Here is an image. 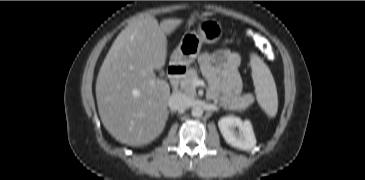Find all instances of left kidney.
<instances>
[{
  "mask_svg": "<svg viewBox=\"0 0 365 180\" xmlns=\"http://www.w3.org/2000/svg\"><path fill=\"white\" fill-rule=\"evenodd\" d=\"M218 127L225 141L233 147L250 150L256 144L252 125L248 120L227 116L218 121Z\"/></svg>",
  "mask_w": 365,
  "mask_h": 180,
  "instance_id": "1",
  "label": "left kidney"
}]
</instances>
